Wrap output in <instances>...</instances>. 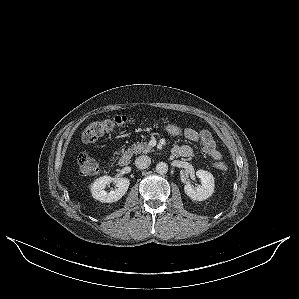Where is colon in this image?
<instances>
[{"mask_svg":"<svg viewBox=\"0 0 299 299\" xmlns=\"http://www.w3.org/2000/svg\"><path fill=\"white\" fill-rule=\"evenodd\" d=\"M132 122V119L124 115H118L114 118L95 121L89 124L82 133V141L86 144L95 143L104 133L110 132L113 129L124 127ZM163 130L174 137L184 136L185 129L181 126L171 123H162ZM79 172L83 176H93L101 171V166L98 160L86 153H81L78 156ZM216 168L221 171L226 170L224 163H217Z\"/></svg>","mask_w":299,"mask_h":299,"instance_id":"colon-1","label":"colon"}]
</instances>
